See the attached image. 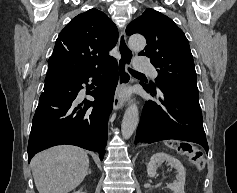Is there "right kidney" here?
<instances>
[{"label": "right kidney", "mask_w": 237, "mask_h": 193, "mask_svg": "<svg viewBox=\"0 0 237 193\" xmlns=\"http://www.w3.org/2000/svg\"><path fill=\"white\" fill-rule=\"evenodd\" d=\"M73 193H86V192H82L81 190H79V191H74Z\"/></svg>", "instance_id": "ca27d5eb"}]
</instances>
